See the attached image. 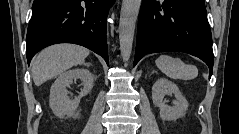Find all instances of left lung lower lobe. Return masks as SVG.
Here are the masks:
<instances>
[{
    "mask_svg": "<svg viewBox=\"0 0 239 134\" xmlns=\"http://www.w3.org/2000/svg\"><path fill=\"white\" fill-rule=\"evenodd\" d=\"M165 51L199 57L212 75V37L204 0H143L134 66L146 54Z\"/></svg>",
    "mask_w": 239,
    "mask_h": 134,
    "instance_id": "0a47b994",
    "label": "left lung lower lobe"
}]
</instances>
